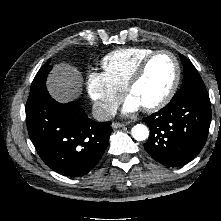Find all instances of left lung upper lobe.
<instances>
[{
    "label": "left lung upper lobe",
    "mask_w": 221,
    "mask_h": 221,
    "mask_svg": "<svg viewBox=\"0 0 221 221\" xmlns=\"http://www.w3.org/2000/svg\"><path fill=\"white\" fill-rule=\"evenodd\" d=\"M180 58L182 60L184 68L183 83L181 88L173 98L179 97L185 93H189L192 91L206 90L204 82L201 79L195 67L193 66V64L181 54Z\"/></svg>",
    "instance_id": "5c2ea615"
}]
</instances>
